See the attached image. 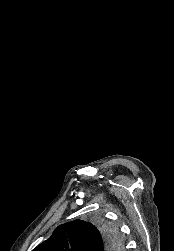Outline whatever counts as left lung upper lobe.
I'll list each match as a JSON object with an SVG mask.
<instances>
[{"instance_id":"1","label":"left lung upper lobe","mask_w":174,"mask_h":251,"mask_svg":"<svg viewBox=\"0 0 174 251\" xmlns=\"http://www.w3.org/2000/svg\"><path fill=\"white\" fill-rule=\"evenodd\" d=\"M122 246L118 230L108 224L75 220L58 226L33 251H120Z\"/></svg>"}]
</instances>
